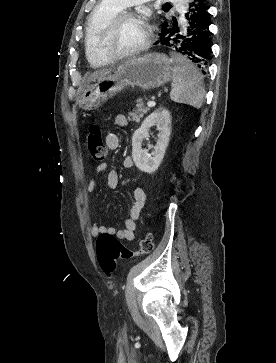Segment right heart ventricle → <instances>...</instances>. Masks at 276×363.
I'll return each mask as SVG.
<instances>
[{
	"label": "right heart ventricle",
	"mask_w": 276,
	"mask_h": 363,
	"mask_svg": "<svg viewBox=\"0 0 276 363\" xmlns=\"http://www.w3.org/2000/svg\"><path fill=\"white\" fill-rule=\"evenodd\" d=\"M121 10L110 0H101L88 19L86 36V56L94 67H103L112 63L102 51L100 35L106 24Z\"/></svg>",
	"instance_id": "obj_1"
}]
</instances>
